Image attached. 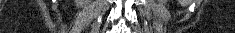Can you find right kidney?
Segmentation results:
<instances>
[{
    "label": "right kidney",
    "mask_w": 235,
    "mask_h": 33,
    "mask_svg": "<svg viewBox=\"0 0 235 33\" xmlns=\"http://www.w3.org/2000/svg\"><path fill=\"white\" fill-rule=\"evenodd\" d=\"M77 3L81 5L84 3V0H77Z\"/></svg>",
    "instance_id": "1"
}]
</instances>
